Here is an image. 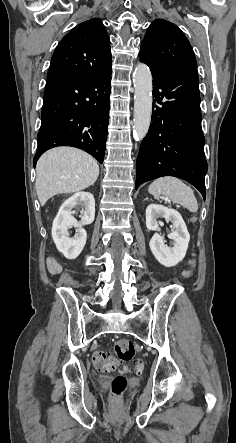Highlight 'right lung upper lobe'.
Listing matches in <instances>:
<instances>
[{"instance_id":"right-lung-upper-lobe-1","label":"right lung upper lobe","mask_w":236,"mask_h":443,"mask_svg":"<svg viewBox=\"0 0 236 443\" xmlns=\"http://www.w3.org/2000/svg\"><path fill=\"white\" fill-rule=\"evenodd\" d=\"M111 66L110 40L105 26L101 20L91 19L73 28L58 44L47 79L96 75Z\"/></svg>"}]
</instances>
